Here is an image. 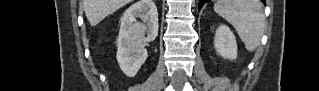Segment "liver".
<instances>
[{
  "label": "liver",
  "instance_id": "liver-1",
  "mask_svg": "<svg viewBox=\"0 0 319 91\" xmlns=\"http://www.w3.org/2000/svg\"><path fill=\"white\" fill-rule=\"evenodd\" d=\"M132 0H83L85 15L91 26H96L104 18L114 13Z\"/></svg>",
  "mask_w": 319,
  "mask_h": 91
}]
</instances>
